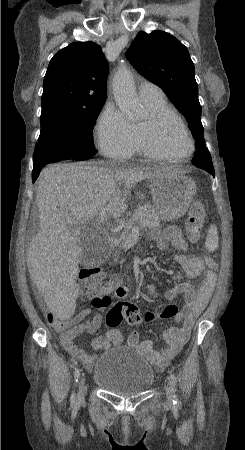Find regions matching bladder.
I'll list each match as a JSON object with an SVG mask.
<instances>
[{
	"label": "bladder",
	"mask_w": 245,
	"mask_h": 450,
	"mask_svg": "<svg viewBox=\"0 0 245 450\" xmlns=\"http://www.w3.org/2000/svg\"><path fill=\"white\" fill-rule=\"evenodd\" d=\"M92 381L107 392L128 396L147 391L155 382V373L140 352L115 347L95 361Z\"/></svg>",
	"instance_id": "bladder-1"
}]
</instances>
